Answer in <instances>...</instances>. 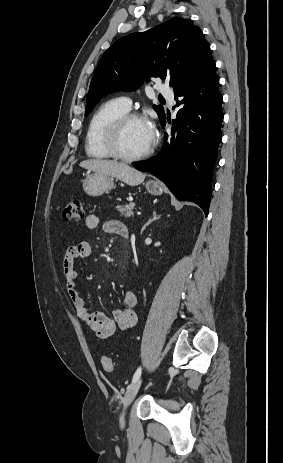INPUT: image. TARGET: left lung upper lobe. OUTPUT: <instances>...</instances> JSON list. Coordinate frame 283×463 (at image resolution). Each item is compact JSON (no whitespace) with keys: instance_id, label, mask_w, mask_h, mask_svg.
Instances as JSON below:
<instances>
[{"instance_id":"5c2ea615","label":"left lung upper lobe","mask_w":283,"mask_h":463,"mask_svg":"<svg viewBox=\"0 0 283 463\" xmlns=\"http://www.w3.org/2000/svg\"><path fill=\"white\" fill-rule=\"evenodd\" d=\"M212 63L201 30L187 19L174 17L146 32L125 36L101 57L90 84L85 115L103 96L138 89L150 77L168 79L176 90ZM153 108L162 122L163 107Z\"/></svg>"}]
</instances>
